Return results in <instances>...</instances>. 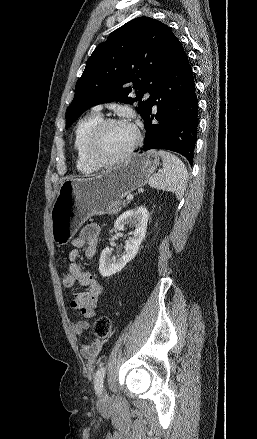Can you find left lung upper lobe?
<instances>
[{"instance_id": "obj_1", "label": "left lung upper lobe", "mask_w": 257, "mask_h": 439, "mask_svg": "<svg viewBox=\"0 0 257 439\" xmlns=\"http://www.w3.org/2000/svg\"><path fill=\"white\" fill-rule=\"evenodd\" d=\"M178 38L160 21L138 17L112 32L96 47L76 83L66 114V129L90 106L112 101L133 104L144 119L152 104L151 93L169 66ZM132 82L137 96L129 97ZM150 97L142 100L145 93Z\"/></svg>"}]
</instances>
